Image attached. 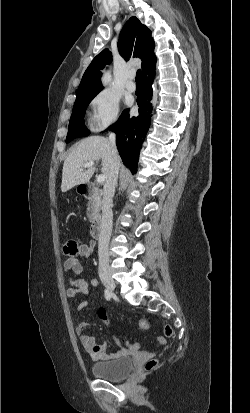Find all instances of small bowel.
<instances>
[{
    "mask_svg": "<svg viewBox=\"0 0 250 413\" xmlns=\"http://www.w3.org/2000/svg\"><path fill=\"white\" fill-rule=\"evenodd\" d=\"M95 247L94 241H89L86 244L79 246L78 256L83 258H90ZM65 272H73L76 276L80 275L83 271V266L79 259L75 256L68 257L63 264ZM69 288L66 290V295L69 298H74L78 295L86 296L89 293V287H96L98 281L96 278H91L86 281L82 278H69ZM88 306V300L83 299L77 305V311L81 312ZM93 324L88 322H80L76 326V333L79 336L80 342L83 348L89 353L90 357L95 361L110 360L118 356L123 355L126 352L125 348H118L114 352H108V346L105 342H99L94 336L85 334L84 331L87 327ZM116 344H120L118 339L115 340Z\"/></svg>",
    "mask_w": 250,
    "mask_h": 413,
    "instance_id": "1",
    "label": "small bowel"
}]
</instances>
